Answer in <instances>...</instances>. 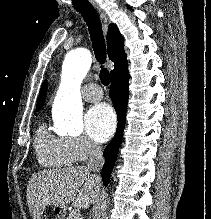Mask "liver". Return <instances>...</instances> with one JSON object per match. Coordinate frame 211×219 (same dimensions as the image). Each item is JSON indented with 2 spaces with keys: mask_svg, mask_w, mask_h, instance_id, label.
Instances as JSON below:
<instances>
[{
  "mask_svg": "<svg viewBox=\"0 0 211 219\" xmlns=\"http://www.w3.org/2000/svg\"><path fill=\"white\" fill-rule=\"evenodd\" d=\"M99 185L85 166L50 169L33 174L27 187V202L33 219H41L46 206L65 209L69 203L87 209L99 198Z\"/></svg>",
  "mask_w": 211,
  "mask_h": 219,
  "instance_id": "1",
  "label": "liver"
}]
</instances>
